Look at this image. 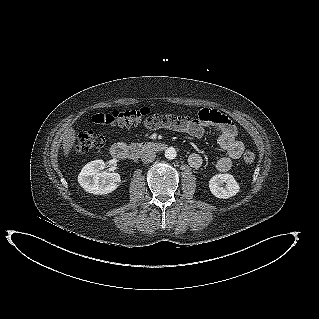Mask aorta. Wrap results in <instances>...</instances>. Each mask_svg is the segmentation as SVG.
Returning a JSON list of instances; mask_svg holds the SVG:
<instances>
[{
  "mask_svg": "<svg viewBox=\"0 0 319 319\" xmlns=\"http://www.w3.org/2000/svg\"><path fill=\"white\" fill-rule=\"evenodd\" d=\"M177 156L176 150L173 147H169L165 150V157L169 160L175 159Z\"/></svg>",
  "mask_w": 319,
  "mask_h": 319,
  "instance_id": "aorta-1",
  "label": "aorta"
}]
</instances>
